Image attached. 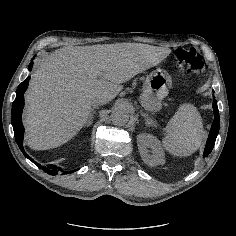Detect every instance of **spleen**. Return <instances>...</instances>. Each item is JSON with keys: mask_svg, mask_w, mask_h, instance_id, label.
I'll return each mask as SVG.
<instances>
[{"mask_svg": "<svg viewBox=\"0 0 236 236\" xmlns=\"http://www.w3.org/2000/svg\"><path fill=\"white\" fill-rule=\"evenodd\" d=\"M166 149L176 156H188L199 149L206 132L202 118L192 104H182L166 126Z\"/></svg>", "mask_w": 236, "mask_h": 236, "instance_id": "3e777b00", "label": "spleen"}]
</instances>
